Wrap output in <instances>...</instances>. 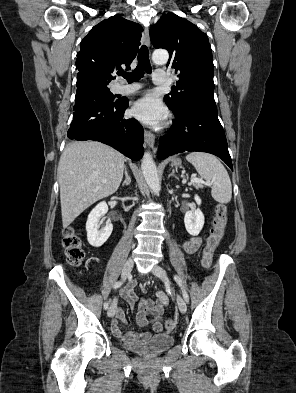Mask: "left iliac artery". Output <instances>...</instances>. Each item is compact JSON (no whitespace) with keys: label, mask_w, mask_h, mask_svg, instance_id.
Instances as JSON below:
<instances>
[{"label":"left iliac artery","mask_w":296,"mask_h":393,"mask_svg":"<svg viewBox=\"0 0 296 393\" xmlns=\"http://www.w3.org/2000/svg\"><path fill=\"white\" fill-rule=\"evenodd\" d=\"M174 280L176 281V283L179 285V287L181 288L182 291V295L184 300L188 303L189 302V295L186 291V288L184 286V283L182 281V279L178 276V275H173Z\"/></svg>","instance_id":"44dca946"}]
</instances>
